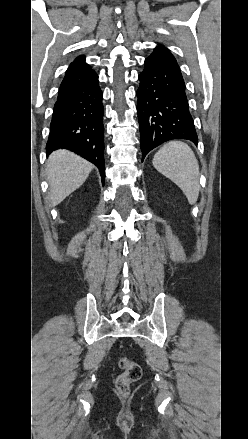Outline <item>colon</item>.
<instances>
[{"label": "colon", "mask_w": 248, "mask_h": 439, "mask_svg": "<svg viewBox=\"0 0 248 439\" xmlns=\"http://www.w3.org/2000/svg\"><path fill=\"white\" fill-rule=\"evenodd\" d=\"M119 367L122 373L117 377L116 388L121 396L127 397L130 392V385L141 378L142 369L139 364L125 357L119 360Z\"/></svg>", "instance_id": "1"}]
</instances>
